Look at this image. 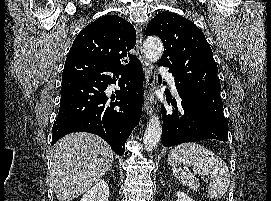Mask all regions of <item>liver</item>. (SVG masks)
Listing matches in <instances>:
<instances>
[{
    "instance_id": "1",
    "label": "liver",
    "mask_w": 271,
    "mask_h": 201,
    "mask_svg": "<svg viewBox=\"0 0 271 201\" xmlns=\"http://www.w3.org/2000/svg\"><path fill=\"white\" fill-rule=\"evenodd\" d=\"M113 163V151L99 136L77 132L53 148L50 179L58 201H72L93 187Z\"/></svg>"
}]
</instances>
